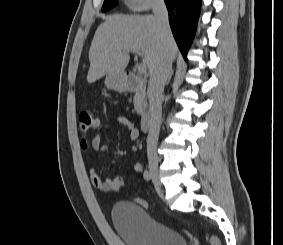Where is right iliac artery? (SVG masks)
I'll list each match as a JSON object with an SVG mask.
<instances>
[{
  "label": "right iliac artery",
  "instance_id": "1",
  "mask_svg": "<svg viewBox=\"0 0 283 245\" xmlns=\"http://www.w3.org/2000/svg\"><path fill=\"white\" fill-rule=\"evenodd\" d=\"M143 177L146 181H150L151 180V174L148 170H145L143 173Z\"/></svg>",
  "mask_w": 283,
  "mask_h": 245
}]
</instances>
